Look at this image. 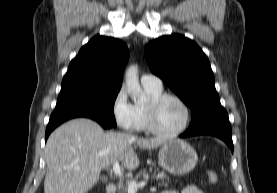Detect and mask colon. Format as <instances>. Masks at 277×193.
I'll return each mask as SVG.
<instances>
[{"label":"colon","instance_id":"colon-1","mask_svg":"<svg viewBox=\"0 0 277 193\" xmlns=\"http://www.w3.org/2000/svg\"><path fill=\"white\" fill-rule=\"evenodd\" d=\"M207 178H208L209 183L212 185H216L219 182V176H218L217 172H215L213 170L207 171Z\"/></svg>","mask_w":277,"mask_h":193}]
</instances>
